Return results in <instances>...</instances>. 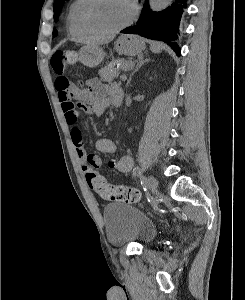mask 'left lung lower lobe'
I'll use <instances>...</instances> for the list:
<instances>
[{"instance_id":"obj_1","label":"left lung lower lobe","mask_w":245,"mask_h":300,"mask_svg":"<svg viewBox=\"0 0 245 300\" xmlns=\"http://www.w3.org/2000/svg\"><path fill=\"white\" fill-rule=\"evenodd\" d=\"M187 0H175L168 8L160 12H150L148 1L144 3L139 20L135 26L127 27L121 31L124 34H137L152 40H160L167 43L178 56L180 47L177 44L180 19L184 8H187Z\"/></svg>"}]
</instances>
